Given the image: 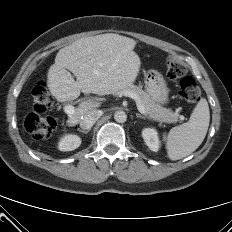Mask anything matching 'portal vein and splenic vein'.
Returning a JSON list of instances; mask_svg holds the SVG:
<instances>
[{
	"instance_id": "1",
	"label": "portal vein and splenic vein",
	"mask_w": 232,
	"mask_h": 232,
	"mask_svg": "<svg viewBox=\"0 0 232 232\" xmlns=\"http://www.w3.org/2000/svg\"><path fill=\"white\" fill-rule=\"evenodd\" d=\"M123 95L126 97H131L132 99H134L139 112L146 115L145 108L142 105L140 98L136 94L126 91L123 93ZM64 111L66 114L70 115V114H73L75 112V108L72 105H66L64 107ZM181 119H183V116H181Z\"/></svg>"
}]
</instances>
